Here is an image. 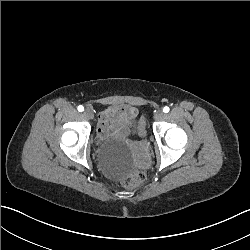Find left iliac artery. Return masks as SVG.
Returning <instances> with one entry per match:
<instances>
[{
  "label": "left iliac artery",
  "instance_id": "obj_1",
  "mask_svg": "<svg viewBox=\"0 0 250 250\" xmlns=\"http://www.w3.org/2000/svg\"><path fill=\"white\" fill-rule=\"evenodd\" d=\"M169 107L168 106H165L164 108H163V112H165V113H168L169 112Z\"/></svg>",
  "mask_w": 250,
  "mask_h": 250
}]
</instances>
